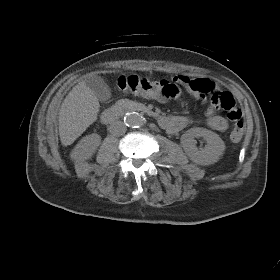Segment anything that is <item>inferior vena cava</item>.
<instances>
[{
	"label": "inferior vena cava",
	"mask_w": 280,
	"mask_h": 280,
	"mask_svg": "<svg viewBox=\"0 0 280 280\" xmlns=\"http://www.w3.org/2000/svg\"><path fill=\"white\" fill-rule=\"evenodd\" d=\"M109 130H110V133L112 135H114V136H121V135H123L126 132L127 127L121 121H114L110 125Z\"/></svg>",
	"instance_id": "1"
}]
</instances>
